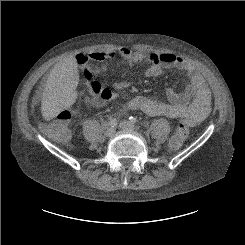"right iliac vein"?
<instances>
[{"mask_svg":"<svg viewBox=\"0 0 245 245\" xmlns=\"http://www.w3.org/2000/svg\"><path fill=\"white\" fill-rule=\"evenodd\" d=\"M115 132H116V130L113 127H110L106 130L105 135L107 137H112V136H114Z\"/></svg>","mask_w":245,"mask_h":245,"instance_id":"obj_1","label":"right iliac vein"}]
</instances>
